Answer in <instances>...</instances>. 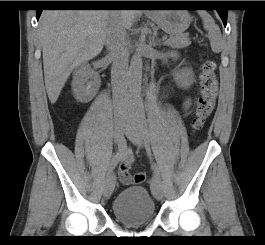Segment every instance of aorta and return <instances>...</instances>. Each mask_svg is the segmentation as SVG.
I'll return each mask as SVG.
<instances>
[{"mask_svg": "<svg viewBox=\"0 0 265 245\" xmlns=\"http://www.w3.org/2000/svg\"><path fill=\"white\" fill-rule=\"evenodd\" d=\"M142 67V57L136 52L131 58L128 78V91L133 100H139L141 96Z\"/></svg>", "mask_w": 265, "mask_h": 245, "instance_id": "aorta-1", "label": "aorta"}]
</instances>
